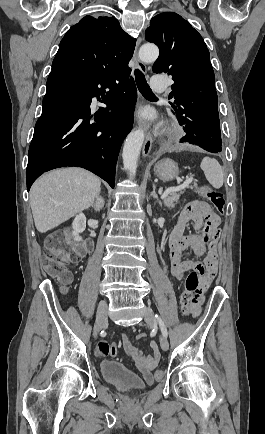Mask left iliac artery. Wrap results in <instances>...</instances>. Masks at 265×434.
I'll list each match as a JSON object with an SVG mask.
<instances>
[{"instance_id": "44dca946", "label": "left iliac artery", "mask_w": 265, "mask_h": 434, "mask_svg": "<svg viewBox=\"0 0 265 434\" xmlns=\"http://www.w3.org/2000/svg\"><path fill=\"white\" fill-rule=\"evenodd\" d=\"M155 319H156V320L158 321V323H159V326H160V329H161L162 334H163L165 337H167L168 333H167V329H166V326H165L163 320H162L161 317L158 316L157 314L155 315Z\"/></svg>"}]
</instances>
